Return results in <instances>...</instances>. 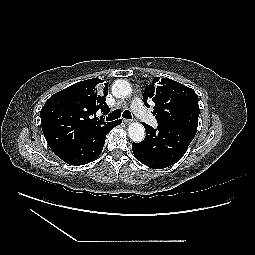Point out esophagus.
Masks as SVG:
<instances>
[{
	"mask_svg": "<svg viewBox=\"0 0 255 255\" xmlns=\"http://www.w3.org/2000/svg\"><path fill=\"white\" fill-rule=\"evenodd\" d=\"M123 121H124L126 124H130L133 120H131V119H123Z\"/></svg>",
	"mask_w": 255,
	"mask_h": 255,
	"instance_id": "1",
	"label": "esophagus"
}]
</instances>
